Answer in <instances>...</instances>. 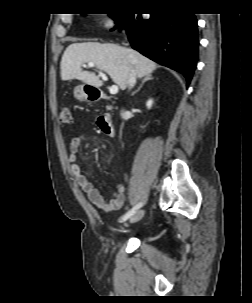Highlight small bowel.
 <instances>
[{
    "label": "small bowel",
    "instance_id": "c3829d8e",
    "mask_svg": "<svg viewBox=\"0 0 252 303\" xmlns=\"http://www.w3.org/2000/svg\"><path fill=\"white\" fill-rule=\"evenodd\" d=\"M84 139L85 137L83 135H78L72 138L70 142L68 158L70 173L94 206L107 213L116 211L120 209L124 203V187L121 184L117 185L113 191L112 199L107 202L101 192L82 174L80 166L77 163V153Z\"/></svg>",
    "mask_w": 252,
    "mask_h": 303
}]
</instances>
